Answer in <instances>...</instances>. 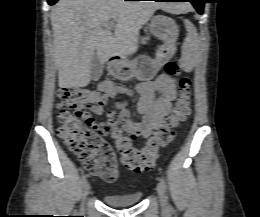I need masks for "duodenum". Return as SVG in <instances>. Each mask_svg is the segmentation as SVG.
<instances>
[{"mask_svg":"<svg viewBox=\"0 0 260 217\" xmlns=\"http://www.w3.org/2000/svg\"><path fill=\"white\" fill-rule=\"evenodd\" d=\"M120 54L117 51H112L109 55L111 71L115 74L122 70L121 66L117 63Z\"/></svg>","mask_w":260,"mask_h":217,"instance_id":"obj_1","label":"duodenum"}]
</instances>
